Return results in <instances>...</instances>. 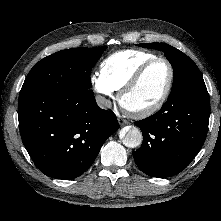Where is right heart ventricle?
<instances>
[{
    "label": "right heart ventricle",
    "instance_id": "obj_1",
    "mask_svg": "<svg viewBox=\"0 0 221 221\" xmlns=\"http://www.w3.org/2000/svg\"><path fill=\"white\" fill-rule=\"evenodd\" d=\"M155 57L143 50L118 51L102 61L100 74L113 90H120L142 64Z\"/></svg>",
    "mask_w": 221,
    "mask_h": 221
}]
</instances>
